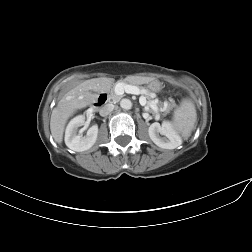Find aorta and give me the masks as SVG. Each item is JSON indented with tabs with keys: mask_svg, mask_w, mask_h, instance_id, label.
Listing matches in <instances>:
<instances>
[{
	"mask_svg": "<svg viewBox=\"0 0 252 252\" xmlns=\"http://www.w3.org/2000/svg\"><path fill=\"white\" fill-rule=\"evenodd\" d=\"M120 106L122 109L129 110L132 108V102L125 98L120 101Z\"/></svg>",
	"mask_w": 252,
	"mask_h": 252,
	"instance_id": "aorta-1",
	"label": "aorta"
}]
</instances>
